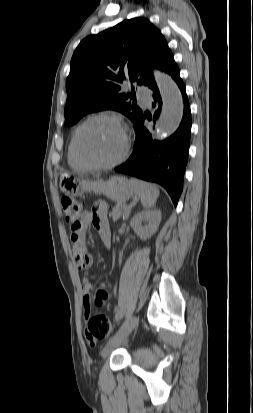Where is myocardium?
<instances>
[{
	"instance_id": "obj_1",
	"label": "myocardium",
	"mask_w": 253,
	"mask_h": 413,
	"mask_svg": "<svg viewBox=\"0 0 253 413\" xmlns=\"http://www.w3.org/2000/svg\"><path fill=\"white\" fill-rule=\"evenodd\" d=\"M98 120H108V121L116 123L120 127V129L123 133V137H124V148H123V151H122L121 155L118 158H116L115 160L110 161V162H106V163H98V162H93V161L89 160L83 154V152L81 150V146H80V137H81V134H82L83 130L89 124H91L92 122L98 121ZM74 149H75V153H76V156L78 157V159L88 168H91V169H110V168H113V167L121 164L127 158L128 154H129L130 138H129V135H128L127 127L124 124V122L122 121V119L119 118L116 115L107 114V113H99V114L92 115L91 117L86 119L83 123H81L79 125V127L77 128V130L75 131Z\"/></svg>"
}]
</instances>
